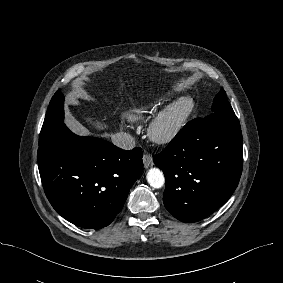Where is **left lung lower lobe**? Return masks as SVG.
I'll return each instance as SVG.
<instances>
[{"label": "left lung lower lobe", "mask_w": 283, "mask_h": 283, "mask_svg": "<svg viewBox=\"0 0 283 283\" xmlns=\"http://www.w3.org/2000/svg\"><path fill=\"white\" fill-rule=\"evenodd\" d=\"M243 141L234 112H214L188 122L167 148L153 156L166 180V209L197 222L232 195L242 173Z\"/></svg>", "instance_id": "1"}]
</instances>
